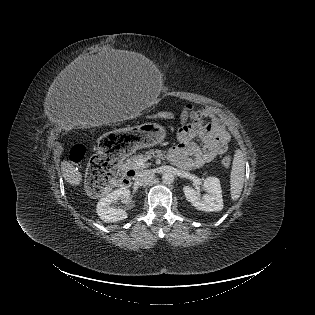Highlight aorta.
I'll list each match as a JSON object with an SVG mask.
<instances>
[{"instance_id":"1","label":"aorta","mask_w":315,"mask_h":315,"mask_svg":"<svg viewBox=\"0 0 315 315\" xmlns=\"http://www.w3.org/2000/svg\"><path fill=\"white\" fill-rule=\"evenodd\" d=\"M162 181L165 184H171L174 182V175L171 172H166L162 176Z\"/></svg>"}]
</instances>
